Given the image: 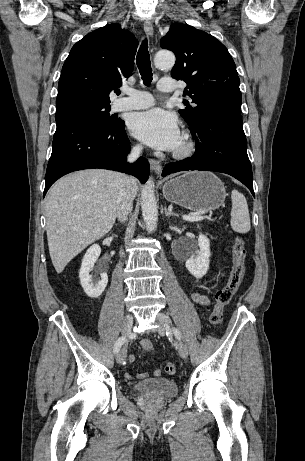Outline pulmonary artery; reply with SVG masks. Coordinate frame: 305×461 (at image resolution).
<instances>
[{"label": "pulmonary artery", "instance_id": "obj_1", "mask_svg": "<svg viewBox=\"0 0 305 461\" xmlns=\"http://www.w3.org/2000/svg\"><path fill=\"white\" fill-rule=\"evenodd\" d=\"M157 88L161 92H173L176 89L172 78H161ZM126 97H121L113 102L114 111L138 110L152 106L154 98L145 91H124Z\"/></svg>", "mask_w": 305, "mask_h": 461}]
</instances>
